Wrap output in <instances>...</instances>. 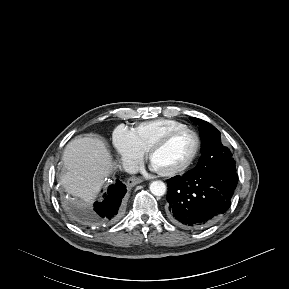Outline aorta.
<instances>
[{
    "label": "aorta",
    "instance_id": "aorta-1",
    "mask_svg": "<svg viewBox=\"0 0 289 289\" xmlns=\"http://www.w3.org/2000/svg\"><path fill=\"white\" fill-rule=\"evenodd\" d=\"M150 192L155 196H163L166 192V185L164 182L157 180L153 181L149 186Z\"/></svg>",
    "mask_w": 289,
    "mask_h": 289
}]
</instances>
